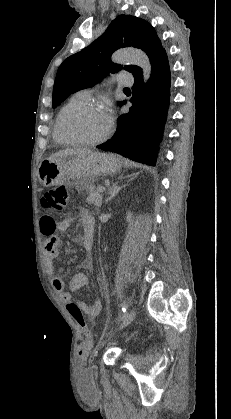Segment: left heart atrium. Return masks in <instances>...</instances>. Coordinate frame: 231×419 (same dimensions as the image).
Returning a JSON list of instances; mask_svg holds the SVG:
<instances>
[{"label": "left heart atrium", "mask_w": 231, "mask_h": 419, "mask_svg": "<svg viewBox=\"0 0 231 419\" xmlns=\"http://www.w3.org/2000/svg\"><path fill=\"white\" fill-rule=\"evenodd\" d=\"M104 114H105V117L108 121V124H110L111 120H112L111 111L109 109H107V110L104 111Z\"/></svg>", "instance_id": "39dd6f15"}]
</instances>
